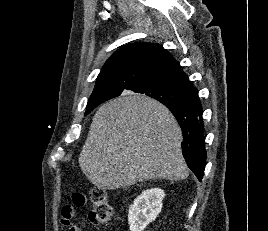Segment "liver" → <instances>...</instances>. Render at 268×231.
Returning a JSON list of instances; mask_svg holds the SVG:
<instances>
[{
  "label": "liver",
  "mask_w": 268,
  "mask_h": 231,
  "mask_svg": "<svg viewBox=\"0 0 268 231\" xmlns=\"http://www.w3.org/2000/svg\"><path fill=\"white\" fill-rule=\"evenodd\" d=\"M181 142L179 124L163 104L125 92L95 113L79 166L102 190L152 179L180 181L188 176Z\"/></svg>",
  "instance_id": "liver-1"
}]
</instances>
